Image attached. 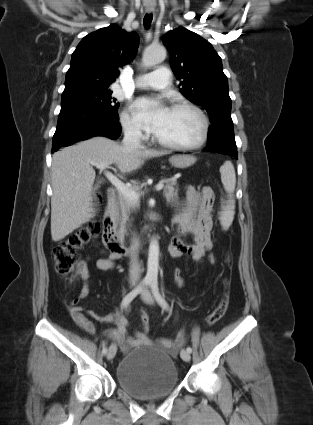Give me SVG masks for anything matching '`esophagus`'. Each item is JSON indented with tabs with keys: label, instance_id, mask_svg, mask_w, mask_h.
<instances>
[{
	"label": "esophagus",
	"instance_id": "34e87169",
	"mask_svg": "<svg viewBox=\"0 0 313 425\" xmlns=\"http://www.w3.org/2000/svg\"><path fill=\"white\" fill-rule=\"evenodd\" d=\"M152 11H153V8H152V7H147V8H146V12L150 13V12H152Z\"/></svg>",
	"mask_w": 313,
	"mask_h": 425
}]
</instances>
